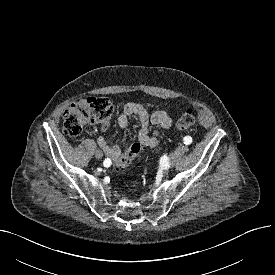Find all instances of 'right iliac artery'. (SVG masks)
I'll list each match as a JSON object with an SVG mask.
<instances>
[{"label":"right iliac artery","mask_w":275,"mask_h":275,"mask_svg":"<svg viewBox=\"0 0 275 275\" xmlns=\"http://www.w3.org/2000/svg\"><path fill=\"white\" fill-rule=\"evenodd\" d=\"M105 167H109L111 165V160L109 158L105 159L103 162Z\"/></svg>","instance_id":"82829eb1"}]
</instances>
